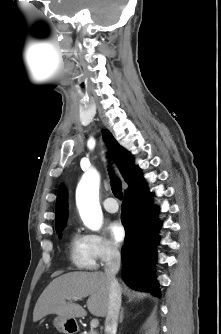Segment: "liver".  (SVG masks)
<instances>
[{
	"label": "liver",
	"mask_w": 221,
	"mask_h": 334,
	"mask_svg": "<svg viewBox=\"0 0 221 334\" xmlns=\"http://www.w3.org/2000/svg\"><path fill=\"white\" fill-rule=\"evenodd\" d=\"M110 282L103 272H69L55 278L45 288L33 312V321L37 322L46 315L57 314L72 319L87 315L79 304L67 302L69 299L88 297L87 308L97 317H105L109 305ZM126 294L128 288H122Z\"/></svg>",
	"instance_id": "1"
}]
</instances>
